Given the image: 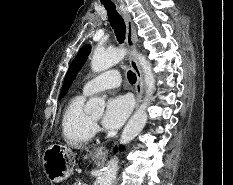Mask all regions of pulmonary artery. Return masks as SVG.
<instances>
[{
    "label": "pulmonary artery",
    "instance_id": "obj_1",
    "mask_svg": "<svg viewBox=\"0 0 233 185\" xmlns=\"http://www.w3.org/2000/svg\"><path fill=\"white\" fill-rule=\"evenodd\" d=\"M121 73L117 69H110L88 80L83 86V94L91 95L99 91L115 88L120 85Z\"/></svg>",
    "mask_w": 233,
    "mask_h": 185
}]
</instances>
